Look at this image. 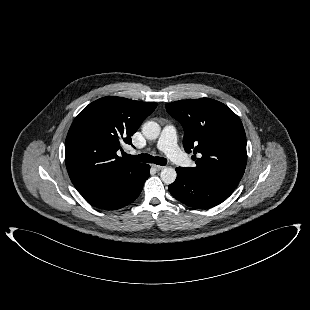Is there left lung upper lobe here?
Here are the masks:
<instances>
[{
	"instance_id": "5c2ea615",
	"label": "left lung upper lobe",
	"mask_w": 310,
	"mask_h": 310,
	"mask_svg": "<svg viewBox=\"0 0 310 310\" xmlns=\"http://www.w3.org/2000/svg\"><path fill=\"white\" fill-rule=\"evenodd\" d=\"M185 131L186 152L199 153L190 173L236 188L247 163L246 135L240 118L223 103L189 99L166 104Z\"/></svg>"
}]
</instances>
